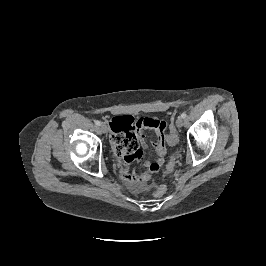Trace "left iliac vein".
<instances>
[{
  "instance_id": "obj_1",
  "label": "left iliac vein",
  "mask_w": 266,
  "mask_h": 266,
  "mask_svg": "<svg viewBox=\"0 0 266 266\" xmlns=\"http://www.w3.org/2000/svg\"><path fill=\"white\" fill-rule=\"evenodd\" d=\"M184 125V120L182 117H179L177 120H176V126L178 128H181L182 126Z\"/></svg>"
}]
</instances>
